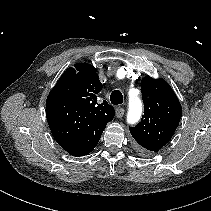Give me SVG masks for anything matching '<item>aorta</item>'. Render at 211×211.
Here are the masks:
<instances>
[{
    "mask_svg": "<svg viewBox=\"0 0 211 211\" xmlns=\"http://www.w3.org/2000/svg\"><path fill=\"white\" fill-rule=\"evenodd\" d=\"M142 114V101L138 95L134 93V90L129 92V109L127 114V122L135 124L138 122Z\"/></svg>",
    "mask_w": 211,
    "mask_h": 211,
    "instance_id": "obj_1",
    "label": "aorta"
}]
</instances>
